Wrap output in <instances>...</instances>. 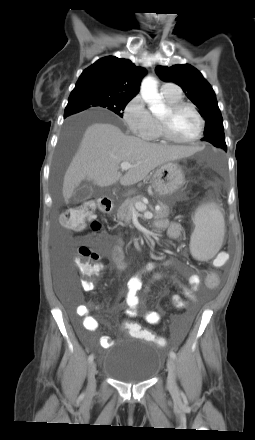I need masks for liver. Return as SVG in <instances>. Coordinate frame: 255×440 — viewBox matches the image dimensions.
Here are the masks:
<instances>
[{
  "label": "liver",
  "instance_id": "1",
  "mask_svg": "<svg viewBox=\"0 0 255 440\" xmlns=\"http://www.w3.org/2000/svg\"><path fill=\"white\" fill-rule=\"evenodd\" d=\"M198 147L159 145L137 137L127 136L109 123L90 125L81 140L63 181L65 202L71 198L83 180L93 181L100 187H108L120 181L123 186L134 185L167 162L189 157ZM132 165L122 176L120 164Z\"/></svg>",
  "mask_w": 255,
  "mask_h": 440
}]
</instances>
